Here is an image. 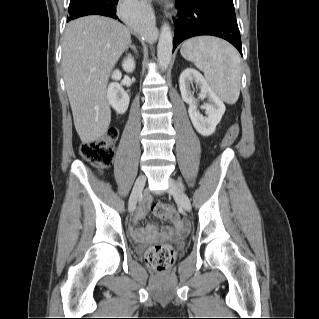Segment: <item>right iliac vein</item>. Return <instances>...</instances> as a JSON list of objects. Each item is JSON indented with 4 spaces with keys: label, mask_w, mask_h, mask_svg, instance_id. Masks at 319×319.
Masks as SVG:
<instances>
[{
    "label": "right iliac vein",
    "mask_w": 319,
    "mask_h": 319,
    "mask_svg": "<svg viewBox=\"0 0 319 319\" xmlns=\"http://www.w3.org/2000/svg\"><path fill=\"white\" fill-rule=\"evenodd\" d=\"M145 182H146V178L144 175H140L135 182V185L133 187V190L129 199L130 213H133L136 208L138 197L140 196L144 188Z\"/></svg>",
    "instance_id": "obj_1"
}]
</instances>
